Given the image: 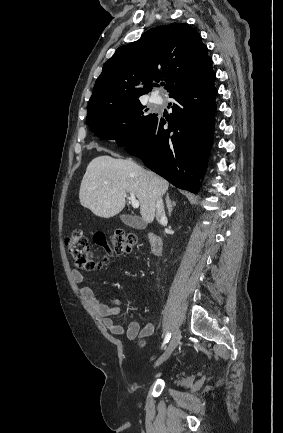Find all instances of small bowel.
<instances>
[{"label": "small bowel", "mask_w": 283, "mask_h": 433, "mask_svg": "<svg viewBox=\"0 0 283 433\" xmlns=\"http://www.w3.org/2000/svg\"><path fill=\"white\" fill-rule=\"evenodd\" d=\"M74 281L79 285V292L82 298L97 312L103 319L105 327L113 334L124 335L128 339L148 338L155 330V325L152 321H148L144 326L138 321H132L125 328L116 322V318L122 314L121 300L118 298L111 299L109 304L101 302L94 294L93 290L83 284L85 275L79 270L72 272Z\"/></svg>", "instance_id": "1"}]
</instances>
